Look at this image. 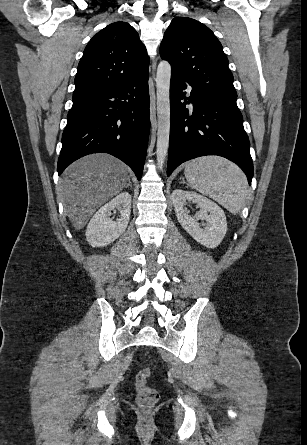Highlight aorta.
Listing matches in <instances>:
<instances>
[{"mask_svg": "<svg viewBox=\"0 0 307 445\" xmlns=\"http://www.w3.org/2000/svg\"><path fill=\"white\" fill-rule=\"evenodd\" d=\"M170 78L171 66L167 60H161L157 66L156 92H157V148L156 160L158 168H162L169 146L170 132Z\"/></svg>", "mask_w": 307, "mask_h": 445, "instance_id": "obj_1", "label": "aorta"}]
</instances>
